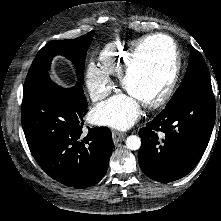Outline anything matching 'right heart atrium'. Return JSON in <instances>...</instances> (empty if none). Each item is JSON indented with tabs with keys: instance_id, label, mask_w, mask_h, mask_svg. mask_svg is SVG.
Wrapping results in <instances>:
<instances>
[{
	"instance_id": "d8ad5b80",
	"label": "right heart atrium",
	"mask_w": 221,
	"mask_h": 221,
	"mask_svg": "<svg viewBox=\"0 0 221 221\" xmlns=\"http://www.w3.org/2000/svg\"><path fill=\"white\" fill-rule=\"evenodd\" d=\"M87 84L94 101L103 99L109 91V79L95 64H90L86 71Z\"/></svg>"
}]
</instances>
